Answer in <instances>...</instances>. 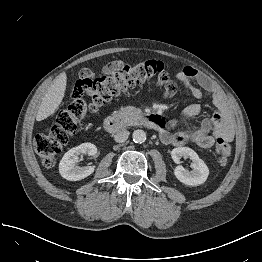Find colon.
Wrapping results in <instances>:
<instances>
[{
  "mask_svg": "<svg viewBox=\"0 0 262 262\" xmlns=\"http://www.w3.org/2000/svg\"><path fill=\"white\" fill-rule=\"evenodd\" d=\"M150 80H155L160 85L172 82L168 79L163 62L158 60H144L132 64L112 62L104 66L98 76L90 69L81 70L74 85L77 95L72 97L70 103L57 114L53 123L34 137L33 145L43 165L53 166L68 137L75 133L85 111L82 96L88 97L91 110H97L113 96ZM214 155L220 166L227 165L231 156L230 144L224 139L217 140Z\"/></svg>",
  "mask_w": 262,
  "mask_h": 262,
  "instance_id": "colon-1",
  "label": "colon"
}]
</instances>
